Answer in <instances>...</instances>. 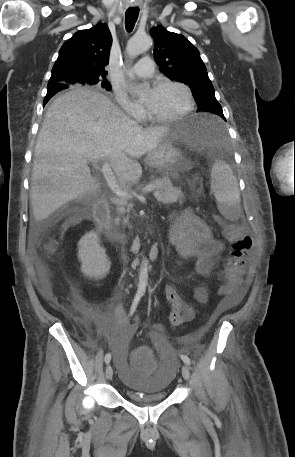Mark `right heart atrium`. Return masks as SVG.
I'll return each instance as SVG.
<instances>
[{"label":"right heart atrium","mask_w":295,"mask_h":457,"mask_svg":"<svg viewBox=\"0 0 295 457\" xmlns=\"http://www.w3.org/2000/svg\"><path fill=\"white\" fill-rule=\"evenodd\" d=\"M114 95L120 107L132 118L142 120L145 116L143 107L133 102L122 89H114Z\"/></svg>","instance_id":"right-heart-atrium-1"}]
</instances>
